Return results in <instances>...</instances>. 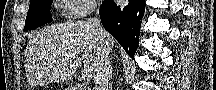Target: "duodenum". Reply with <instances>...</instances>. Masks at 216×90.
<instances>
[{"instance_id": "410a0bca", "label": "duodenum", "mask_w": 216, "mask_h": 90, "mask_svg": "<svg viewBox=\"0 0 216 90\" xmlns=\"http://www.w3.org/2000/svg\"><path fill=\"white\" fill-rule=\"evenodd\" d=\"M71 90H86V87H71Z\"/></svg>"}]
</instances>
